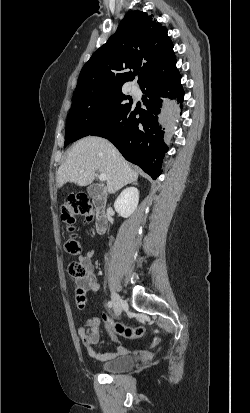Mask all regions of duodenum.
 <instances>
[{
	"instance_id": "obj_1",
	"label": "duodenum",
	"mask_w": 250,
	"mask_h": 413,
	"mask_svg": "<svg viewBox=\"0 0 250 413\" xmlns=\"http://www.w3.org/2000/svg\"><path fill=\"white\" fill-rule=\"evenodd\" d=\"M93 203L95 206V230L98 234H102L106 231L108 226V216L106 212V199L101 194L93 196Z\"/></svg>"
}]
</instances>
